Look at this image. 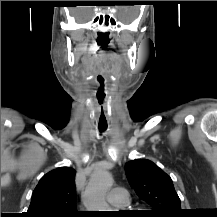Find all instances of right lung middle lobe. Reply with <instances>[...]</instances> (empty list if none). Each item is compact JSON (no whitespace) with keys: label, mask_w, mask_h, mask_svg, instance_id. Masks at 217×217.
I'll return each mask as SVG.
<instances>
[{"label":"right lung middle lobe","mask_w":217,"mask_h":217,"mask_svg":"<svg viewBox=\"0 0 217 217\" xmlns=\"http://www.w3.org/2000/svg\"><path fill=\"white\" fill-rule=\"evenodd\" d=\"M78 215H64L62 217H77Z\"/></svg>","instance_id":"right-lung-middle-lobe-1"}]
</instances>
